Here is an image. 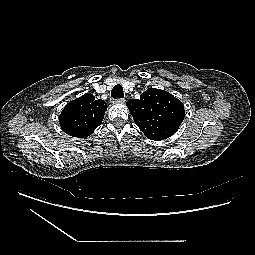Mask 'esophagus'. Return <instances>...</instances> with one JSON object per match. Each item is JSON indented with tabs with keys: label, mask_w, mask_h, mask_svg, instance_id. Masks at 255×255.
Wrapping results in <instances>:
<instances>
[{
	"label": "esophagus",
	"mask_w": 255,
	"mask_h": 255,
	"mask_svg": "<svg viewBox=\"0 0 255 255\" xmlns=\"http://www.w3.org/2000/svg\"><path fill=\"white\" fill-rule=\"evenodd\" d=\"M116 101L120 102V103H124L125 102V98L117 99Z\"/></svg>",
	"instance_id": "esophagus-1"
}]
</instances>
